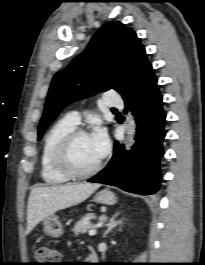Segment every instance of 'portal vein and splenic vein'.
I'll return each mask as SVG.
<instances>
[{
  "instance_id": "1",
  "label": "portal vein and splenic vein",
  "mask_w": 205,
  "mask_h": 265,
  "mask_svg": "<svg viewBox=\"0 0 205 265\" xmlns=\"http://www.w3.org/2000/svg\"><path fill=\"white\" fill-rule=\"evenodd\" d=\"M96 233H97L96 229H90L89 232H88V234H89L90 236H93V235H95Z\"/></svg>"
}]
</instances>
